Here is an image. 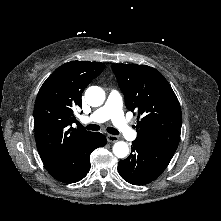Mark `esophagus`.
Segmentation results:
<instances>
[{"label":"esophagus","mask_w":221,"mask_h":221,"mask_svg":"<svg viewBox=\"0 0 221 221\" xmlns=\"http://www.w3.org/2000/svg\"><path fill=\"white\" fill-rule=\"evenodd\" d=\"M118 136H116V135H111V134H108L107 135V140H108V142H116V141H118Z\"/></svg>","instance_id":"1"}]
</instances>
